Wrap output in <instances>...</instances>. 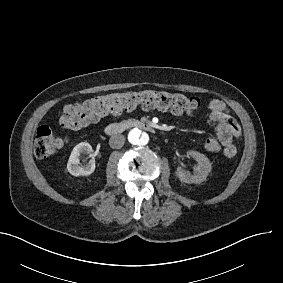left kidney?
Wrapping results in <instances>:
<instances>
[{"label": "left kidney", "mask_w": 283, "mask_h": 283, "mask_svg": "<svg viewBox=\"0 0 283 283\" xmlns=\"http://www.w3.org/2000/svg\"><path fill=\"white\" fill-rule=\"evenodd\" d=\"M187 156L194 158L198 162L194 174L192 175L182 167H177L176 176L184 183H202L206 180L211 171V163L209 159L204 154L192 150L187 152Z\"/></svg>", "instance_id": "1"}]
</instances>
